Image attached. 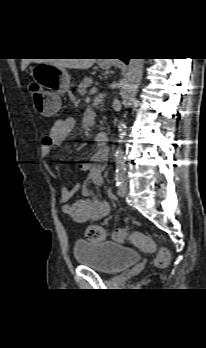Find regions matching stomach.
Returning <instances> with one entry per match:
<instances>
[{
  "instance_id": "1",
  "label": "stomach",
  "mask_w": 206,
  "mask_h": 348,
  "mask_svg": "<svg viewBox=\"0 0 206 348\" xmlns=\"http://www.w3.org/2000/svg\"><path fill=\"white\" fill-rule=\"evenodd\" d=\"M103 68H109V64H102ZM34 81L44 89L34 98V107L38 113L44 116L54 114L59 108L58 94L70 89V76L65 68L56 67L48 63L37 64L31 72Z\"/></svg>"
}]
</instances>
